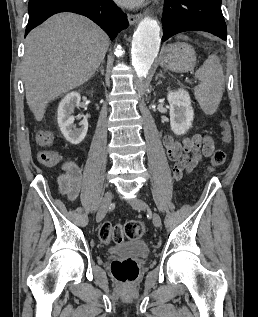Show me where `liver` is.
Returning <instances> with one entry per match:
<instances>
[{
    "label": "liver",
    "mask_w": 258,
    "mask_h": 317,
    "mask_svg": "<svg viewBox=\"0 0 258 317\" xmlns=\"http://www.w3.org/2000/svg\"><path fill=\"white\" fill-rule=\"evenodd\" d=\"M25 42L26 100L36 120H42L50 100L91 78L109 46L100 26L73 12L54 14L33 28Z\"/></svg>",
    "instance_id": "obj_1"
}]
</instances>
